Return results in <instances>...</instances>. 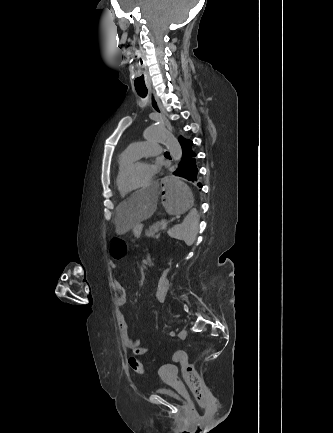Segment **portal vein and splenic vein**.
I'll return each instance as SVG.
<instances>
[{
  "label": "portal vein and splenic vein",
  "mask_w": 333,
  "mask_h": 433,
  "mask_svg": "<svg viewBox=\"0 0 333 433\" xmlns=\"http://www.w3.org/2000/svg\"><path fill=\"white\" fill-rule=\"evenodd\" d=\"M162 229L164 230V229H166V226L164 225L163 227H162ZM159 237H156V239H158Z\"/></svg>",
  "instance_id": "portal-vein-and-splenic-vein-1"
}]
</instances>
